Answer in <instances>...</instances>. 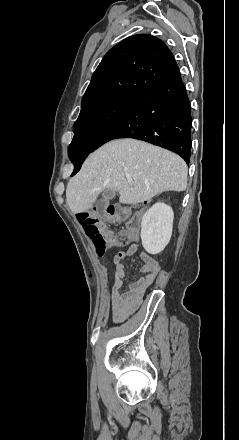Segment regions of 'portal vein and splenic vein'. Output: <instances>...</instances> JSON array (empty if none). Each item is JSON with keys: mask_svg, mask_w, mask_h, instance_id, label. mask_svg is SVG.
Returning a JSON list of instances; mask_svg holds the SVG:
<instances>
[{"mask_svg": "<svg viewBox=\"0 0 239 440\" xmlns=\"http://www.w3.org/2000/svg\"><path fill=\"white\" fill-rule=\"evenodd\" d=\"M128 182H130V184H131V182H132V178H128Z\"/></svg>", "mask_w": 239, "mask_h": 440, "instance_id": "portal-vein-and-splenic-vein-1", "label": "portal vein and splenic vein"}]
</instances>
